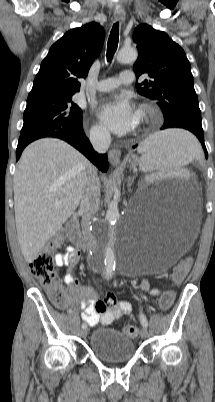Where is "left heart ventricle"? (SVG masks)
I'll list each match as a JSON object with an SVG mask.
<instances>
[{"mask_svg":"<svg viewBox=\"0 0 215 402\" xmlns=\"http://www.w3.org/2000/svg\"><path fill=\"white\" fill-rule=\"evenodd\" d=\"M140 124H141V118H140L139 114L137 113V125L135 128L139 127Z\"/></svg>","mask_w":215,"mask_h":402,"instance_id":"left-heart-ventricle-1","label":"left heart ventricle"}]
</instances>
